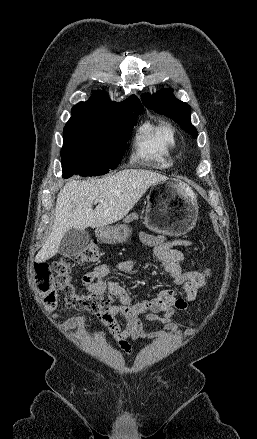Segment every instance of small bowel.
Returning <instances> with one entry per match:
<instances>
[{
    "label": "small bowel",
    "mask_w": 257,
    "mask_h": 439,
    "mask_svg": "<svg viewBox=\"0 0 257 439\" xmlns=\"http://www.w3.org/2000/svg\"><path fill=\"white\" fill-rule=\"evenodd\" d=\"M140 238L144 244L154 247V253L157 257L156 268L163 270L172 280L182 274L183 270L179 263L184 260V254L177 247L190 246L189 240H171L164 235H152L144 232L141 233ZM116 271L130 273L134 271V265L129 261L120 262L116 266ZM109 274V267L100 264L84 276L83 283L90 291L101 292L108 289L109 292L116 293L121 287L115 279L106 280ZM198 289L193 285L185 284L183 285L184 294L181 297L176 296L173 290L166 289L159 292L154 298L140 302H134L130 295L124 292L120 304L112 305L107 312L97 316L120 349L129 354L132 351V346L128 339L137 342L141 338L149 337L164 342L169 338L170 333H176L178 326L172 317L175 311L187 309L188 304L196 298ZM159 314L162 315L159 316ZM121 319L126 321L124 326L120 323ZM145 321H159L165 330H148L144 326ZM82 322V317L76 316L67 320L64 327L67 330H72ZM192 333V329H187L185 336Z\"/></svg>",
    "instance_id": "c3829d8e"
}]
</instances>
